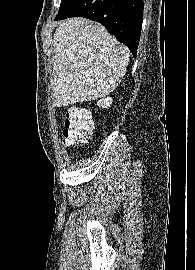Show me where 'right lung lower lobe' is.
<instances>
[{
  "label": "right lung lower lobe",
  "instance_id": "1",
  "mask_svg": "<svg viewBox=\"0 0 195 270\" xmlns=\"http://www.w3.org/2000/svg\"><path fill=\"white\" fill-rule=\"evenodd\" d=\"M143 0H74L55 20L85 17L103 24L136 57L143 21Z\"/></svg>",
  "mask_w": 195,
  "mask_h": 270
}]
</instances>
